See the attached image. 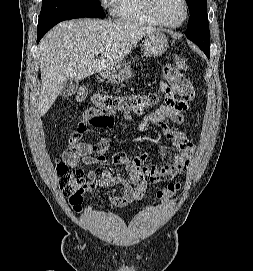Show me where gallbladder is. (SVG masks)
<instances>
[{
	"label": "gallbladder",
	"instance_id": "1",
	"mask_svg": "<svg viewBox=\"0 0 253 271\" xmlns=\"http://www.w3.org/2000/svg\"><path fill=\"white\" fill-rule=\"evenodd\" d=\"M78 88V83L74 80H67L64 85L63 88L60 91V95L63 98H68L73 96Z\"/></svg>",
	"mask_w": 253,
	"mask_h": 271
}]
</instances>
